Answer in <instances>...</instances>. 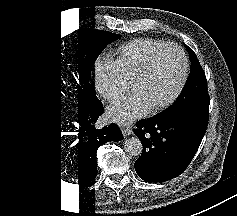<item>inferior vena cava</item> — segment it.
<instances>
[{"label":"inferior vena cava","instance_id":"1","mask_svg":"<svg viewBox=\"0 0 237 216\" xmlns=\"http://www.w3.org/2000/svg\"><path fill=\"white\" fill-rule=\"evenodd\" d=\"M115 97H116V96H113V95H112L110 98H111V100H113V101H118V100L115 99Z\"/></svg>","mask_w":237,"mask_h":216}]
</instances>
